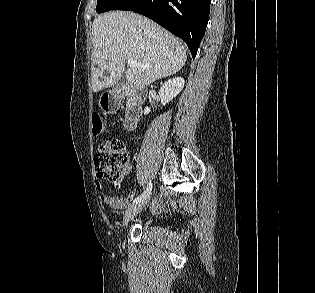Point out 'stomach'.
I'll use <instances>...</instances> for the list:
<instances>
[{
  "mask_svg": "<svg viewBox=\"0 0 315 293\" xmlns=\"http://www.w3.org/2000/svg\"><path fill=\"white\" fill-rule=\"evenodd\" d=\"M122 97L119 96V92H102V97L99 101V105L104 112L109 110H119Z\"/></svg>",
  "mask_w": 315,
  "mask_h": 293,
  "instance_id": "obj_1",
  "label": "stomach"
}]
</instances>
